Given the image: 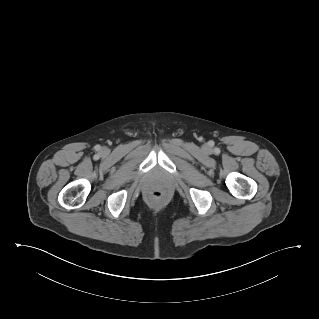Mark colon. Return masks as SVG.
I'll return each mask as SVG.
<instances>
[{"label":"colon","mask_w":319,"mask_h":319,"mask_svg":"<svg viewBox=\"0 0 319 319\" xmlns=\"http://www.w3.org/2000/svg\"><path fill=\"white\" fill-rule=\"evenodd\" d=\"M164 196V193L160 190H154L152 193H151V198L154 200V201H159L163 198Z\"/></svg>","instance_id":"colon-1"}]
</instances>
